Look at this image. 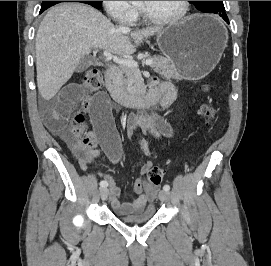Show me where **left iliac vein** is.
Masks as SVG:
<instances>
[{
    "mask_svg": "<svg viewBox=\"0 0 271 266\" xmlns=\"http://www.w3.org/2000/svg\"><path fill=\"white\" fill-rule=\"evenodd\" d=\"M159 199L162 201V202H167L169 201L170 199V193L168 191H160L159 192Z\"/></svg>",
    "mask_w": 271,
    "mask_h": 266,
    "instance_id": "obj_1",
    "label": "left iliac vein"
}]
</instances>
